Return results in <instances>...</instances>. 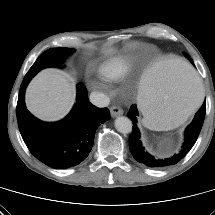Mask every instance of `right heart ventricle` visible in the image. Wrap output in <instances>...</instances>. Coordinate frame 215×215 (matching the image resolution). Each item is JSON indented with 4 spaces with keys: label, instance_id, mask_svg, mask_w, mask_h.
Returning <instances> with one entry per match:
<instances>
[{
    "label": "right heart ventricle",
    "instance_id": "obj_1",
    "mask_svg": "<svg viewBox=\"0 0 215 215\" xmlns=\"http://www.w3.org/2000/svg\"><path fill=\"white\" fill-rule=\"evenodd\" d=\"M135 58L130 55H123L104 62L100 68V74L107 80H121L131 71Z\"/></svg>",
    "mask_w": 215,
    "mask_h": 215
}]
</instances>
